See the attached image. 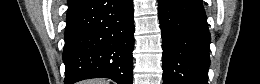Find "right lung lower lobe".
I'll use <instances>...</instances> for the list:
<instances>
[{"instance_id": "obj_1", "label": "right lung lower lobe", "mask_w": 260, "mask_h": 84, "mask_svg": "<svg viewBox=\"0 0 260 84\" xmlns=\"http://www.w3.org/2000/svg\"><path fill=\"white\" fill-rule=\"evenodd\" d=\"M133 14L132 0H81L68 8L65 84L90 78L132 84Z\"/></svg>"}]
</instances>
